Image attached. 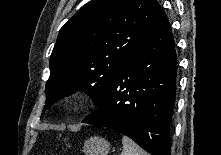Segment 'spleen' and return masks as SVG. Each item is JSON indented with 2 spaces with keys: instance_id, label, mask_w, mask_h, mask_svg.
Returning <instances> with one entry per match:
<instances>
[{
  "instance_id": "3e777b00",
  "label": "spleen",
  "mask_w": 221,
  "mask_h": 155,
  "mask_svg": "<svg viewBox=\"0 0 221 155\" xmlns=\"http://www.w3.org/2000/svg\"><path fill=\"white\" fill-rule=\"evenodd\" d=\"M123 150L121 155H147L133 140L127 136L122 138Z\"/></svg>"
}]
</instances>
